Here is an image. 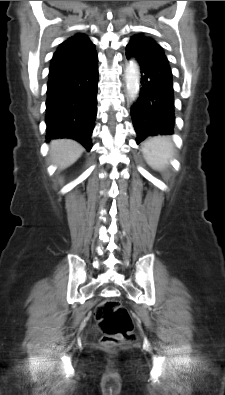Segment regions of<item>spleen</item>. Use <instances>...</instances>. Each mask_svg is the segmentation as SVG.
I'll use <instances>...</instances> for the list:
<instances>
[{
  "label": "spleen",
  "mask_w": 225,
  "mask_h": 395,
  "mask_svg": "<svg viewBox=\"0 0 225 395\" xmlns=\"http://www.w3.org/2000/svg\"><path fill=\"white\" fill-rule=\"evenodd\" d=\"M142 152L149 166L155 170H163L173 158L174 146L170 138L156 136L143 144Z\"/></svg>",
  "instance_id": "spleen-1"
}]
</instances>
